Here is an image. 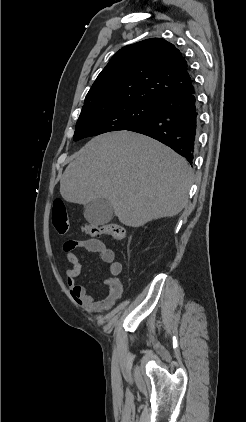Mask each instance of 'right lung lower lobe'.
<instances>
[{"mask_svg": "<svg viewBox=\"0 0 246 422\" xmlns=\"http://www.w3.org/2000/svg\"><path fill=\"white\" fill-rule=\"evenodd\" d=\"M156 114L127 130L152 137L169 146L192 164L199 130L194 86L157 104Z\"/></svg>", "mask_w": 246, "mask_h": 422, "instance_id": "obj_1", "label": "right lung lower lobe"}]
</instances>
